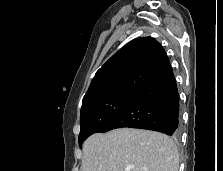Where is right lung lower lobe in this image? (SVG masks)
<instances>
[{
	"mask_svg": "<svg viewBox=\"0 0 223 171\" xmlns=\"http://www.w3.org/2000/svg\"><path fill=\"white\" fill-rule=\"evenodd\" d=\"M123 127L155 130L171 136L179 135V94L172 71L138 93L98 132Z\"/></svg>",
	"mask_w": 223,
	"mask_h": 171,
	"instance_id": "98d812e1",
	"label": "right lung lower lobe"
}]
</instances>
